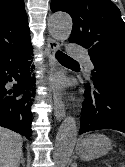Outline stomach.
I'll return each instance as SVG.
<instances>
[{
  "label": "stomach",
  "mask_w": 125,
  "mask_h": 167,
  "mask_svg": "<svg viewBox=\"0 0 125 167\" xmlns=\"http://www.w3.org/2000/svg\"><path fill=\"white\" fill-rule=\"evenodd\" d=\"M112 149L111 140L102 134H91L81 137L77 152L82 160H93L107 154Z\"/></svg>",
  "instance_id": "0dacf381"
}]
</instances>
